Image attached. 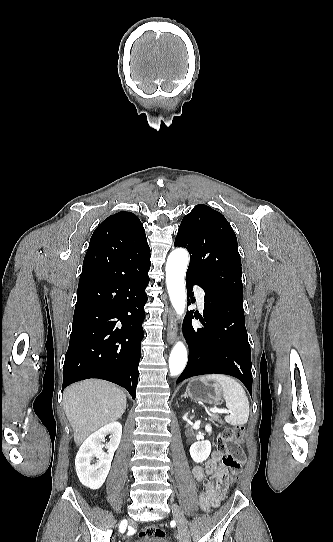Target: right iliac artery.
I'll return each instance as SVG.
<instances>
[{
  "instance_id": "82829eb1",
  "label": "right iliac artery",
  "mask_w": 333,
  "mask_h": 542,
  "mask_svg": "<svg viewBox=\"0 0 333 542\" xmlns=\"http://www.w3.org/2000/svg\"><path fill=\"white\" fill-rule=\"evenodd\" d=\"M126 526H127V521L126 520H123L120 524V532L123 533L125 530H126Z\"/></svg>"
}]
</instances>
